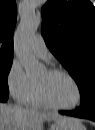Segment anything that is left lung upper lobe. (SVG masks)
I'll return each mask as SVG.
<instances>
[{"label":"left lung upper lobe","instance_id":"1","mask_svg":"<svg viewBox=\"0 0 95 130\" xmlns=\"http://www.w3.org/2000/svg\"><path fill=\"white\" fill-rule=\"evenodd\" d=\"M42 16L46 45L76 81L82 103L95 93V8L88 0H50Z\"/></svg>","mask_w":95,"mask_h":130}]
</instances>
